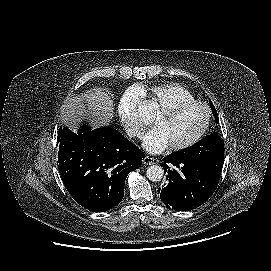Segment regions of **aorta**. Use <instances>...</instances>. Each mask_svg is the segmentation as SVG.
Segmentation results:
<instances>
[{"mask_svg":"<svg viewBox=\"0 0 271 271\" xmlns=\"http://www.w3.org/2000/svg\"><path fill=\"white\" fill-rule=\"evenodd\" d=\"M164 170L161 166L152 165L147 169V177L152 182L160 181L163 178Z\"/></svg>","mask_w":271,"mask_h":271,"instance_id":"obj_1","label":"aorta"}]
</instances>
